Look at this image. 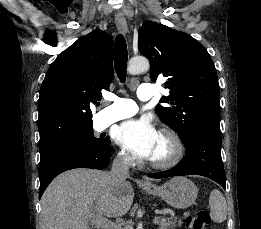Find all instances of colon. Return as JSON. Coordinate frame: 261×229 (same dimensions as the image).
Instances as JSON below:
<instances>
[{"instance_id":"colon-1","label":"colon","mask_w":261,"mask_h":229,"mask_svg":"<svg viewBox=\"0 0 261 229\" xmlns=\"http://www.w3.org/2000/svg\"><path fill=\"white\" fill-rule=\"evenodd\" d=\"M210 216L205 210H198L190 214L185 221V229H208Z\"/></svg>"}]
</instances>
